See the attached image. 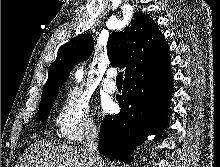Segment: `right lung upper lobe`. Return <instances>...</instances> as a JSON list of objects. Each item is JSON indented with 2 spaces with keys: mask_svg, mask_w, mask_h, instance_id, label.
<instances>
[{
  "mask_svg": "<svg viewBox=\"0 0 220 167\" xmlns=\"http://www.w3.org/2000/svg\"><path fill=\"white\" fill-rule=\"evenodd\" d=\"M92 50L93 39L90 33L76 36L63 44L49 68L41 99L57 93L74 65L88 59ZM107 54L111 65L126 67L125 77L170 61L169 47L164 35L149 15L142 12H135L130 24L123 31L110 34Z\"/></svg>",
  "mask_w": 220,
  "mask_h": 167,
  "instance_id": "1",
  "label": "right lung upper lobe"
}]
</instances>
